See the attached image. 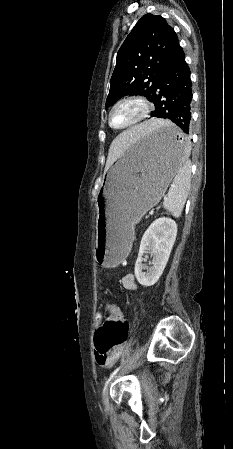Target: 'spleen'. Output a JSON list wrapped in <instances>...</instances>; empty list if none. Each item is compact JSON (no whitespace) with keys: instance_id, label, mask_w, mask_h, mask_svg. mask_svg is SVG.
Segmentation results:
<instances>
[{"instance_id":"1","label":"spleen","mask_w":233,"mask_h":449,"mask_svg":"<svg viewBox=\"0 0 233 449\" xmlns=\"http://www.w3.org/2000/svg\"><path fill=\"white\" fill-rule=\"evenodd\" d=\"M189 153L190 143L187 144L186 159L179 168L163 203L164 208L175 218L181 215L191 188V165L187 160Z\"/></svg>"}]
</instances>
